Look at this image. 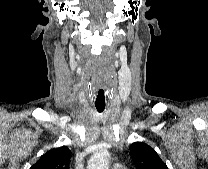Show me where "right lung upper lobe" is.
<instances>
[{
  "instance_id": "1",
  "label": "right lung upper lobe",
  "mask_w": 208,
  "mask_h": 169,
  "mask_svg": "<svg viewBox=\"0 0 208 169\" xmlns=\"http://www.w3.org/2000/svg\"><path fill=\"white\" fill-rule=\"evenodd\" d=\"M70 158L67 146L54 148L43 154L30 169H69Z\"/></svg>"
}]
</instances>
